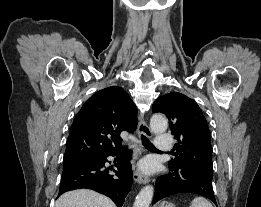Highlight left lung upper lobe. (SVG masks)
Here are the masks:
<instances>
[{
    "mask_svg": "<svg viewBox=\"0 0 261 207\" xmlns=\"http://www.w3.org/2000/svg\"><path fill=\"white\" fill-rule=\"evenodd\" d=\"M152 111L167 116L171 133L177 139V155L169 161V168H185L212 178L211 133L197 103L173 92L160 96L153 103Z\"/></svg>",
    "mask_w": 261,
    "mask_h": 207,
    "instance_id": "1",
    "label": "left lung upper lobe"
}]
</instances>
